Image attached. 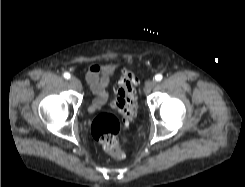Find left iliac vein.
Returning a JSON list of instances; mask_svg holds the SVG:
<instances>
[{
  "label": "left iliac vein",
  "instance_id": "4c4485c4",
  "mask_svg": "<svg viewBox=\"0 0 245 187\" xmlns=\"http://www.w3.org/2000/svg\"><path fill=\"white\" fill-rule=\"evenodd\" d=\"M156 85V82L154 80H149L145 83L144 86V92L149 93Z\"/></svg>",
  "mask_w": 245,
  "mask_h": 187
}]
</instances>
